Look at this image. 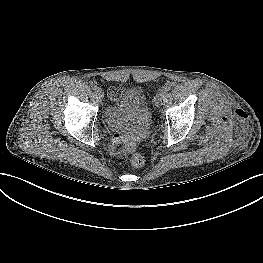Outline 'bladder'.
I'll return each instance as SVG.
<instances>
[{
	"label": "bladder",
	"instance_id": "1",
	"mask_svg": "<svg viewBox=\"0 0 263 263\" xmlns=\"http://www.w3.org/2000/svg\"><path fill=\"white\" fill-rule=\"evenodd\" d=\"M106 122L116 134L141 136L149 133L151 112L139 90H128L112 100L105 113Z\"/></svg>",
	"mask_w": 263,
	"mask_h": 263
}]
</instances>
